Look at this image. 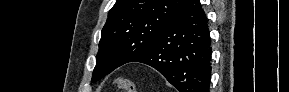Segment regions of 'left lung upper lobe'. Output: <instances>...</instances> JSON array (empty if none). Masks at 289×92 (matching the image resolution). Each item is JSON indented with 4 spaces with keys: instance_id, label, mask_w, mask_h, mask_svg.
I'll return each mask as SVG.
<instances>
[{
    "instance_id": "obj_1",
    "label": "left lung upper lobe",
    "mask_w": 289,
    "mask_h": 92,
    "mask_svg": "<svg viewBox=\"0 0 289 92\" xmlns=\"http://www.w3.org/2000/svg\"><path fill=\"white\" fill-rule=\"evenodd\" d=\"M190 0H117L99 42L92 82L149 49Z\"/></svg>"
}]
</instances>
